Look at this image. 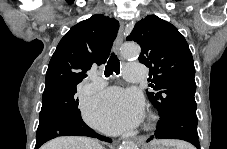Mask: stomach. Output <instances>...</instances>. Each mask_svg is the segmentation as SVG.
<instances>
[{
    "instance_id": "stomach-1",
    "label": "stomach",
    "mask_w": 227,
    "mask_h": 149,
    "mask_svg": "<svg viewBox=\"0 0 227 149\" xmlns=\"http://www.w3.org/2000/svg\"><path fill=\"white\" fill-rule=\"evenodd\" d=\"M147 149H165L163 145H160V144H156L154 146H151Z\"/></svg>"
}]
</instances>
